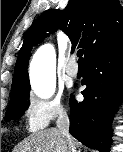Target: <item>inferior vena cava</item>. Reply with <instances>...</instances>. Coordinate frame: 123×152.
<instances>
[{
    "label": "inferior vena cava",
    "mask_w": 123,
    "mask_h": 152,
    "mask_svg": "<svg viewBox=\"0 0 123 152\" xmlns=\"http://www.w3.org/2000/svg\"><path fill=\"white\" fill-rule=\"evenodd\" d=\"M69 117L66 112H61L57 119V128L59 132L63 135L65 141L68 143L69 152H76L72 146L71 135L69 134Z\"/></svg>",
    "instance_id": "602c4592"
}]
</instances>
